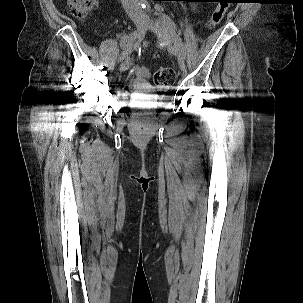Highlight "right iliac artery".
Instances as JSON below:
<instances>
[{
    "label": "right iliac artery",
    "instance_id": "right-iliac-artery-1",
    "mask_svg": "<svg viewBox=\"0 0 303 303\" xmlns=\"http://www.w3.org/2000/svg\"><path fill=\"white\" fill-rule=\"evenodd\" d=\"M139 47V43H135L133 46H129L124 49V51L119 56V61L124 60L132 51Z\"/></svg>",
    "mask_w": 303,
    "mask_h": 303
}]
</instances>
